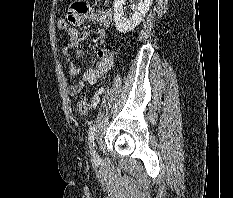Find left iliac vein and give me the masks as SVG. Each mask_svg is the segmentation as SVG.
Instances as JSON below:
<instances>
[{
    "label": "left iliac vein",
    "mask_w": 233,
    "mask_h": 198,
    "mask_svg": "<svg viewBox=\"0 0 233 198\" xmlns=\"http://www.w3.org/2000/svg\"><path fill=\"white\" fill-rule=\"evenodd\" d=\"M91 155H92L93 161H98L99 160V155H98V153L96 152V150L94 148H92Z\"/></svg>",
    "instance_id": "1"
}]
</instances>
